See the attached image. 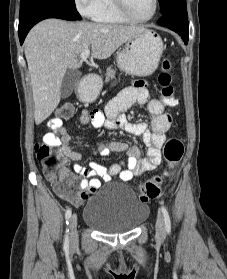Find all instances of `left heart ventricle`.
<instances>
[{"label":"left heart ventricle","instance_id":"b2bd125f","mask_svg":"<svg viewBox=\"0 0 227 279\" xmlns=\"http://www.w3.org/2000/svg\"><path fill=\"white\" fill-rule=\"evenodd\" d=\"M131 13L138 18L150 15L153 9V0H126Z\"/></svg>","mask_w":227,"mask_h":279}]
</instances>
